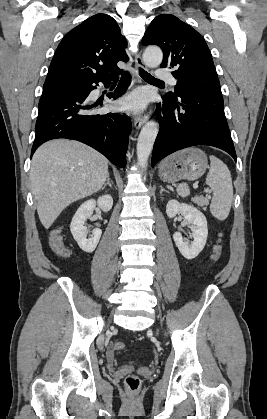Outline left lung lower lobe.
Here are the masks:
<instances>
[{"label": "left lung lower lobe", "instance_id": "0a47b994", "mask_svg": "<svg viewBox=\"0 0 267 419\" xmlns=\"http://www.w3.org/2000/svg\"><path fill=\"white\" fill-rule=\"evenodd\" d=\"M156 108L160 130L154 143L152 167L167 155L195 145H209L236 152L224 114L220 90L203 89L185 93L173 100L162 97Z\"/></svg>", "mask_w": 267, "mask_h": 419}]
</instances>
